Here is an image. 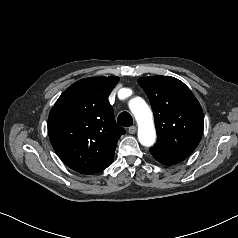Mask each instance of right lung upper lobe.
<instances>
[{
	"label": "right lung upper lobe",
	"instance_id": "cb5924a9",
	"mask_svg": "<svg viewBox=\"0 0 238 238\" xmlns=\"http://www.w3.org/2000/svg\"><path fill=\"white\" fill-rule=\"evenodd\" d=\"M118 81V77L81 79L61 94L49 113L50 142L76 172L93 174L114 160L118 139L125 133L108 101Z\"/></svg>",
	"mask_w": 238,
	"mask_h": 238
}]
</instances>
